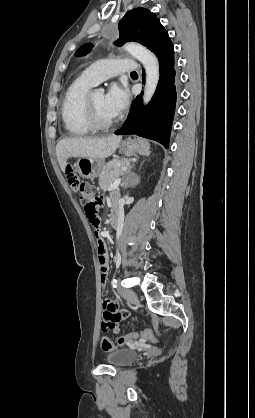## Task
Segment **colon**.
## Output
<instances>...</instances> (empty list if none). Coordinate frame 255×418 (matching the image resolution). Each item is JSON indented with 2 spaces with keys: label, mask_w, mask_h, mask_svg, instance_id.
<instances>
[{
  "label": "colon",
  "mask_w": 255,
  "mask_h": 418,
  "mask_svg": "<svg viewBox=\"0 0 255 418\" xmlns=\"http://www.w3.org/2000/svg\"><path fill=\"white\" fill-rule=\"evenodd\" d=\"M67 177L73 191L77 194L83 204L85 214L90 224L97 229L99 227V218L97 214L99 202L94 197L92 186L79 179V177H77L70 169L67 171ZM138 336L149 341L158 340V336L153 331L144 330L140 334L131 333L120 336L116 342L111 341L108 337H103L101 340V348L103 351L109 352L126 344H132Z\"/></svg>",
  "instance_id": "colon-1"
}]
</instances>
